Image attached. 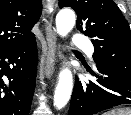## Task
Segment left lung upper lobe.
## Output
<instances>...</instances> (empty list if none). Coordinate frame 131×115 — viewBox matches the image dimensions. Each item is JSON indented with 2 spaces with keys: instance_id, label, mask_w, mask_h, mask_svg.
Instances as JSON below:
<instances>
[{
  "instance_id": "1",
  "label": "left lung upper lobe",
  "mask_w": 131,
  "mask_h": 115,
  "mask_svg": "<svg viewBox=\"0 0 131 115\" xmlns=\"http://www.w3.org/2000/svg\"><path fill=\"white\" fill-rule=\"evenodd\" d=\"M77 14L76 27L91 37L97 64L131 75V31L113 0H59Z\"/></svg>"
}]
</instances>
